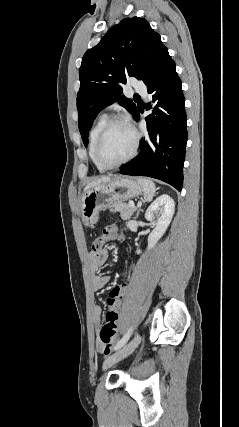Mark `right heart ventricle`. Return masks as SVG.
<instances>
[{"label":"right heart ventricle","mask_w":239,"mask_h":427,"mask_svg":"<svg viewBox=\"0 0 239 427\" xmlns=\"http://www.w3.org/2000/svg\"><path fill=\"white\" fill-rule=\"evenodd\" d=\"M108 121V117L106 114H101L96 122L94 123V125L92 126V128L90 129L89 132V137H88V151H89V156L93 162V164L95 165V167L97 168L98 171H104L105 169L102 168L95 160L94 157V147H95V142L97 139V136L100 132V130L102 129V127L105 125V123Z\"/></svg>","instance_id":"obj_1"}]
</instances>
